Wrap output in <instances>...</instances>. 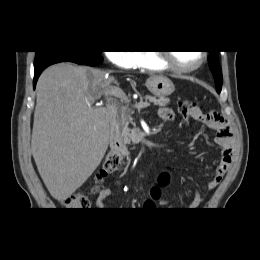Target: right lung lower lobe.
I'll list each match as a JSON object with an SVG mask.
<instances>
[{
	"instance_id": "obj_1",
	"label": "right lung lower lobe",
	"mask_w": 260,
	"mask_h": 260,
	"mask_svg": "<svg viewBox=\"0 0 260 260\" xmlns=\"http://www.w3.org/2000/svg\"><path fill=\"white\" fill-rule=\"evenodd\" d=\"M68 61L80 65L96 66L102 63L103 58L100 54L89 52H54L34 63V88L42 71L55 63Z\"/></svg>"
}]
</instances>
